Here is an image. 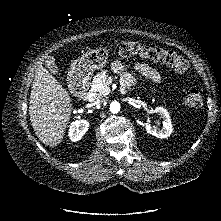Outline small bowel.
<instances>
[{
    "label": "small bowel",
    "mask_w": 221,
    "mask_h": 221,
    "mask_svg": "<svg viewBox=\"0 0 221 221\" xmlns=\"http://www.w3.org/2000/svg\"><path fill=\"white\" fill-rule=\"evenodd\" d=\"M112 69L115 72L122 74L121 82L124 87L130 86L134 83V78L129 72L130 69L139 72L141 75L148 78L153 83H159L161 80L160 73L146 63L137 62L133 65H128L120 61H115L112 64Z\"/></svg>",
    "instance_id": "small-bowel-1"
}]
</instances>
